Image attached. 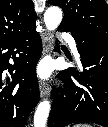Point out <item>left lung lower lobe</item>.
<instances>
[{"label":"left lung lower lobe","mask_w":108,"mask_h":127,"mask_svg":"<svg viewBox=\"0 0 108 127\" xmlns=\"http://www.w3.org/2000/svg\"><path fill=\"white\" fill-rule=\"evenodd\" d=\"M77 49L84 69L70 67L56 76L64 81L66 88L52 90L48 126L64 127L83 121L108 127V41L82 46L77 42Z\"/></svg>","instance_id":"obj_1"}]
</instances>
